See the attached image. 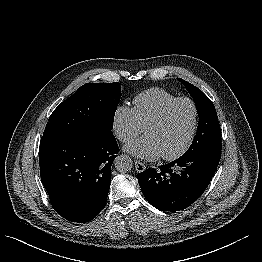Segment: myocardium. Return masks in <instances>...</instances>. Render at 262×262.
Segmentation results:
<instances>
[{
	"instance_id": "obj_1",
	"label": "myocardium",
	"mask_w": 262,
	"mask_h": 262,
	"mask_svg": "<svg viewBox=\"0 0 262 262\" xmlns=\"http://www.w3.org/2000/svg\"><path fill=\"white\" fill-rule=\"evenodd\" d=\"M180 102H188L189 104H191L192 108H193V123H192V127H191V131L190 134L188 136V139L186 141V143L175 153L171 154V155H162V158L166 161H173L176 160L178 158H180L181 156H183L191 147L196 132H197V128H198V122H199V109L198 106L196 104V102L189 98V97H179L173 101H171L170 103H168L160 112L159 114L146 126V130L150 127H155L158 125H161L168 113L170 112V110L178 103Z\"/></svg>"
}]
</instances>
